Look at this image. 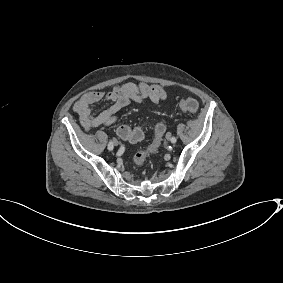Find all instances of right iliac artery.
Returning a JSON list of instances; mask_svg holds the SVG:
<instances>
[{
  "label": "right iliac artery",
  "mask_w": 283,
  "mask_h": 283,
  "mask_svg": "<svg viewBox=\"0 0 283 283\" xmlns=\"http://www.w3.org/2000/svg\"><path fill=\"white\" fill-rule=\"evenodd\" d=\"M108 150L109 151L113 150V142L112 141H110L109 144H108Z\"/></svg>",
  "instance_id": "82829eb1"
}]
</instances>
